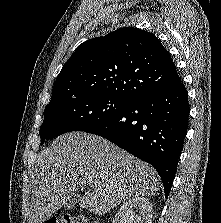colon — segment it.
Instances as JSON below:
<instances>
[{
	"instance_id": "5ec220e1",
	"label": "colon",
	"mask_w": 221,
	"mask_h": 223,
	"mask_svg": "<svg viewBox=\"0 0 221 223\" xmlns=\"http://www.w3.org/2000/svg\"><path fill=\"white\" fill-rule=\"evenodd\" d=\"M44 223H100L98 219L84 216H62L47 219Z\"/></svg>"
}]
</instances>
